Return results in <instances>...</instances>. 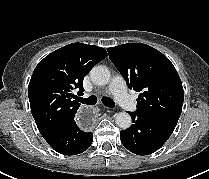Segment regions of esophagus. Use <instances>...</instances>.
<instances>
[{"label": "esophagus", "mask_w": 209, "mask_h": 179, "mask_svg": "<svg viewBox=\"0 0 209 179\" xmlns=\"http://www.w3.org/2000/svg\"><path fill=\"white\" fill-rule=\"evenodd\" d=\"M97 117L94 107H80L76 112V121L82 128H89Z\"/></svg>", "instance_id": "obj_1"}]
</instances>
